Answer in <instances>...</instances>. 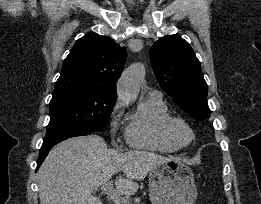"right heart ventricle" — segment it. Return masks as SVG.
<instances>
[{
	"instance_id": "e07e8e85",
	"label": "right heart ventricle",
	"mask_w": 261,
	"mask_h": 204,
	"mask_svg": "<svg viewBox=\"0 0 261 204\" xmlns=\"http://www.w3.org/2000/svg\"><path fill=\"white\" fill-rule=\"evenodd\" d=\"M171 118L162 98L145 97L127 119L125 138L135 149L172 153L178 147L166 134L165 124Z\"/></svg>"
}]
</instances>
